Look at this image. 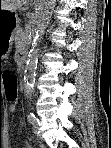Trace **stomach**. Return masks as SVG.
I'll use <instances>...</instances> for the list:
<instances>
[{
  "label": "stomach",
  "instance_id": "obj_1",
  "mask_svg": "<svg viewBox=\"0 0 111 148\" xmlns=\"http://www.w3.org/2000/svg\"><path fill=\"white\" fill-rule=\"evenodd\" d=\"M19 24L20 19L16 10H0V58H6L11 51Z\"/></svg>",
  "mask_w": 111,
  "mask_h": 148
}]
</instances>
